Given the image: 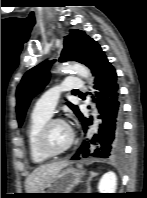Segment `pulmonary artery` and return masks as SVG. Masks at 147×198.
<instances>
[{
	"instance_id": "pulmonary-artery-1",
	"label": "pulmonary artery",
	"mask_w": 147,
	"mask_h": 198,
	"mask_svg": "<svg viewBox=\"0 0 147 198\" xmlns=\"http://www.w3.org/2000/svg\"><path fill=\"white\" fill-rule=\"evenodd\" d=\"M83 87V82L77 77H68L60 86L47 90L35 103L33 111L51 116L58 103L61 92Z\"/></svg>"
}]
</instances>
